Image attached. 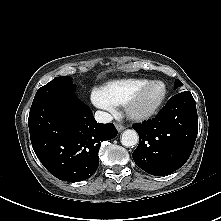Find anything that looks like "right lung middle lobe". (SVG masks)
I'll list each match as a JSON object with an SVG mask.
<instances>
[{"label": "right lung middle lobe", "mask_w": 221, "mask_h": 221, "mask_svg": "<svg viewBox=\"0 0 221 221\" xmlns=\"http://www.w3.org/2000/svg\"><path fill=\"white\" fill-rule=\"evenodd\" d=\"M74 89L75 85L71 82V77H55L52 81L38 89L33 103L53 95L72 93Z\"/></svg>", "instance_id": "1"}]
</instances>
